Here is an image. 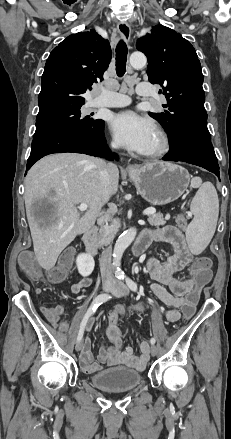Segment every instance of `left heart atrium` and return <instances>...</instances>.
I'll list each match as a JSON object with an SVG mask.
<instances>
[{
  "mask_svg": "<svg viewBox=\"0 0 231 439\" xmlns=\"http://www.w3.org/2000/svg\"><path fill=\"white\" fill-rule=\"evenodd\" d=\"M110 129L122 146L139 153L146 151L156 132L151 120L133 111L115 114L110 120Z\"/></svg>",
  "mask_w": 231,
  "mask_h": 439,
  "instance_id": "left-heart-atrium-1",
  "label": "left heart atrium"
}]
</instances>
